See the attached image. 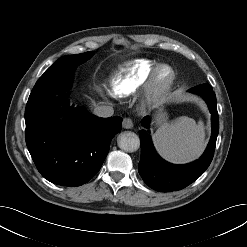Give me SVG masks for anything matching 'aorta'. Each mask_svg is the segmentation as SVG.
<instances>
[{"label": "aorta", "mask_w": 247, "mask_h": 247, "mask_svg": "<svg viewBox=\"0 0 247 247\" xmlns=\"http://www.w3.org/2000/svg\"><path fill=\"white\" fill-rule=\"evenodd\" d=\"M117 143L119 148L126 152H135L140 147L139 137L134 132H122Z\"/></svg>", "instance_id": "aorta-1"}]
</instances>
